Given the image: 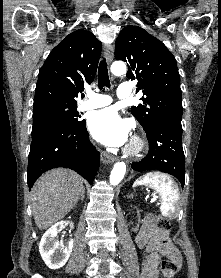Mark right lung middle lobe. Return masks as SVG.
Masks as SVG:
<instances>
[{"mask_svg":"<svg viewBox=\"0 0 221 278\" xmlns=\"http://www.w3.org/2000/svg\"><path fill=\"white\" fill-rule=\"evenodd\" d=\"M77 112V104L45 102L34 106L31 135L54 127L73 128L84 122Z\"/></svg>","mask_w":221,"mask_h":278,"instance_id":"right-lung-middle-lobe-1","label":"right lung middle lobe"}]
</instances>
